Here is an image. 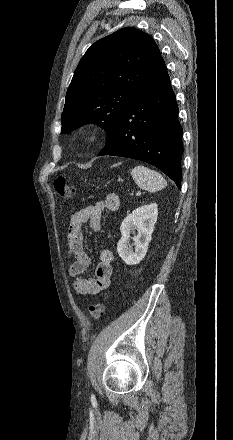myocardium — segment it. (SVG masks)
I'll use <instances>...</instances> for the list:
<instances>
[{"label":"myocardium","instance_id":"1","mask_svg":"<svg viewBox=\"0 0 233 440\" xmlns=\"http://www.w3.org/2000/svg\"><path fill=\"white\" fill-rule=\"evenodd\" d=\"M101 139V130L94 126L84 128L80 132L79 140L84 147H93Z\"/></svg>","mask_w":233,"mask_h":440}]
</instances>
